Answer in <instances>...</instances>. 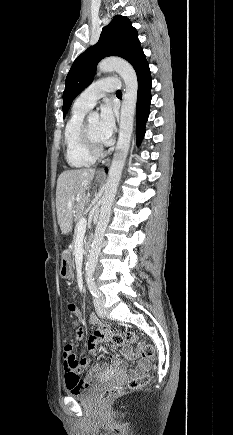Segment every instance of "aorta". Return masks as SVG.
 Masks as SVG:
<instances>
[{
    "instance_id": "obj_1",
    "label": "aorta",
    "mask_w": 233,
    "mask_h": 435,
    "mask_svg": "<svg viewBox=\"0 0 233 435\" xmlns=\"http://www.w3.org/2000/svg\"><path fill=\"white\" fill-rule=\"evenodd\" d=\"M98 71L103 73L116 71L119 73L125 83V93L123 95V102L121 106L119 138L108 172L105 191L101 198L100 216L96 225L94 238L86 264L87 280L93 279V274L98 262V256L100 254L105 230L110 219L112 204L117 193L121 173L128 154L131 135L133 132L138 91L136 72L127 61L120 58L104 59L98 64ZM88 119L89 121L98 120L99 114L97 112H92L89 114Z\"/></svg>"
}]
</instances>
